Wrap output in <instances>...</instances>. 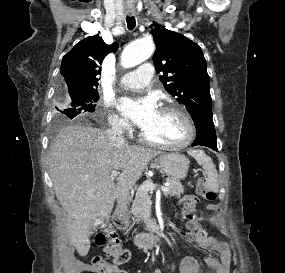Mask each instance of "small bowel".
Listing matches in <instances>:
<instances>
[{"mask_svg": "<svg viewBox=\"0 0 285 273\" xmlns=\"http://www.w3.org/2000/svg\"><path fill=\"white\" fill-rule=\"evenodd\" d=\"M186 201H193L197 206L199 199L189 195L182 198L181 203H186ZM195 241L200 248L212 252V255L205 259V262L215 270V273H229L231 253L227 243L209 235L206 229H204V232L196 233ZM179 271L180 273H202L201 263L194 257H185L180 263ZM146 273H161V271L153 269L146 271Z\"/></svg>", "mask_w": 285, "mask_h": 273, "instance_id": "1", "label": "small bowel"}]
</instances>
